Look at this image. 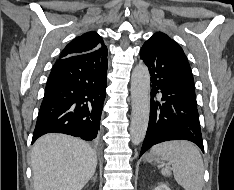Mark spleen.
Here are the masks:
<instances>
[{
  "label": "spleen",
  "mask_w": 234,
  "mask_h": 190,
  "mask_svg": "<svg viewBox=\"0 0 234 190\" xmlns=\"http://www.w3.org/2000/svg\"><path fill=\"white\" fill-rule=\"evenodd\" d=\"M151 153L172 164L177 183L185 190H202L204 165L199 149L189 141H168L155 145ZM162 175L170 176L171 170L163 168Z\"/></svg>",
  "instance_id": "obj_1"
}]
</instances>
